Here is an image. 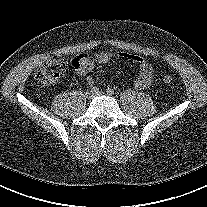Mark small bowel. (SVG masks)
<instances>
[{"mask_svg":"<svg viewBox=\"0 0 207 207\" xmlns=\"http://www.w3.org/2000/svg\"><path fill=\"white\" fill-rule=\"evenodd\" d=\"M114 57H121L131 60L138 65L139 75L133 82L135 88L148 89L152 85L154 77V69L152 65L136 55L102 52L92 57L87 54H80L72 60V66L79 75H87L93 70L96 64H106ZM87 82L89 84H93L94 79L92 77H88Z\"/></svg>","mask_w":207,"mask_h":207,"instance_id":"small-bowel-1","label":"small bowel"}]
</instances>
